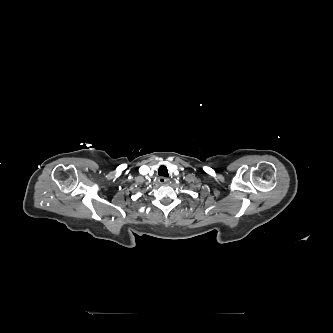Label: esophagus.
<instances>
[{
    "mask_svg": "<svg viewBox=\"0 0 333 333\" xmlns=\"http://www.w3.org/2000/svg\"><path fill=\"white\" fill-rule=\"evenodd\" d=\"M168 182H169V179L166 178V177H159V178H158V183H159L160 185L168 184Z\"/></svg>",
    "mask_w": 333,
    "mask_h": 333,
    "instance_id": "1",
    "label": "esophagus"
}]
</instances>
